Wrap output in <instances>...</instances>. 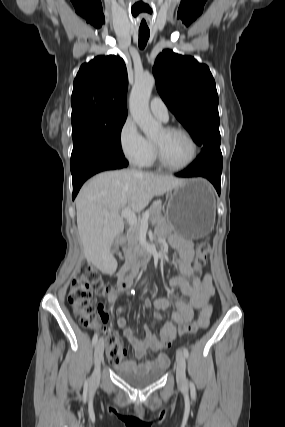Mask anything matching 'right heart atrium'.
<instances>
[{
	"instance_id": "1",
	"label": "right heart atrium",
	"mask_w": 285,
	"mask_h": 427,
	"mask_svg": "<svg viewBox=\"0 0 285 427\" xmlns=\"http://www.w3.org/2000/svg\"><path fill=\"white\" fill-rule=\"evenodd\" d=\"M119 145L122 154L132 165H141L152 149L151 142L131 117L126 118L120 128Z\"/></svg>"
}]
</instances>
